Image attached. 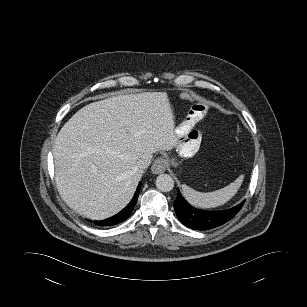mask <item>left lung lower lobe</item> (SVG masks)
<instances>
[{
  "instance_id": "obj_1",
  "label": "left lung lower lobe",
  "mask_w": 307,
  "mask_h": 307,
  "mask_svg": "<svg viewBox=\"0 0 307 307\" xmlns=\"http://www.w3.org/2000/svg\"><path fill=\"white\" fill-rule=\"evenodd\" d=\"M245 201L226 210L221 211H204L191 206L181 195L177 192V198L174 202V209L178 219L187 227L193 230H208L231 220L242 208Z\"/></svg>"
}]
</instances>
